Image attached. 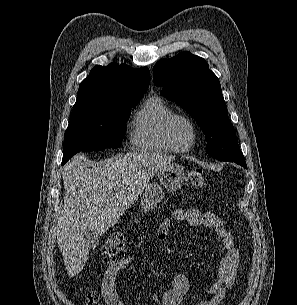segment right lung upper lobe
<instances>
[{
    "label": "right lung upper lobe",
    "instance_id": "right-lung-upper-lobe-1",
    "mask_svg": "<svg viewBox=\"0 0 297 305\" xmlns=\"http://www.w3.org/2000/svg\"><path fill=\"white\" fill-rule=\"evenodd\" d=\"M149 87V69L125 64L96 65L79 85L73 107L103 105L128 98H142Z\"/></svg>",
    "mask_w": 297,
    "mask_h": 305
}]
</instances>
